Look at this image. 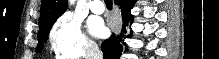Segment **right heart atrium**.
I'll return each mask as SVG.
<instances>
[{
  "label": "right heart atrium",
  "mask_w": 219,
  "mask_h": 59,
  "mask_svg": "<svg viewBox=\"0 0 219 59\" xmlns=\"http://www.w3.org/2000/svg\"><path fill=\"white\" fill-rule=\"evenodd\" d=\"M49 41L59 59H80L93 55L96 45L83 31L81 23L69 14L61 16L52 26Z\"/></svg>",
  "instance_id": "1"
}]
</instances>
